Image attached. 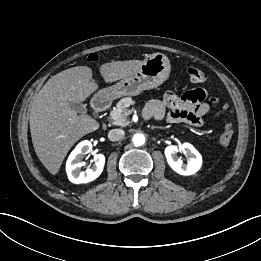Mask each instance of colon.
<instances>
[{
	"label": "colon",
	"instance_id": "5ec220e1",
	"mask_svg": "<svg viewBox=\"0 0 261 261\" xmlns=\"http://www.w3.org/2000/svg\"><path fill=\"white\" fill-rule=\"evenodd\" d=\"M98 60V55L93 53L88 56V61L95 62ZM187 74L189 80L192 83H202L206 80V74L201 69L197 67H188ZM213 103L220 104L224 110H229V106L226 102H224L220 97H213L211 99ZM233 137V128L232 122L227 120L224 124V128L222 133L219 136L218 143L222 147H226L229 145Z\"/></svg>",
	"mask_w": 261,
	"mask_h": 261
}]
</instances>
